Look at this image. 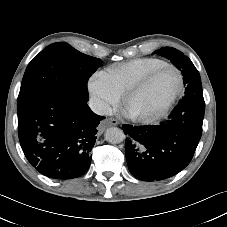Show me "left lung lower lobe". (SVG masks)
<instances>
[{
	"label": "left lung lower lobe",
	"mask_w": 227,
	"mask_h": 227,
	"mask_svg": "<svg viewBox=\"0 0 227 227\" xmlns=\"http://www.w3.org/2000/svg\"><path fill=\"white\" fill-rule=\"evenodd\" d=\"M204 107L176 106L168 119L156 126L123 125L131 174L143 181H159L183 170L201 138Z\"/></svg>",
	"instance_id": "left-lung-lower-lobe-1"
}]
</instances>
